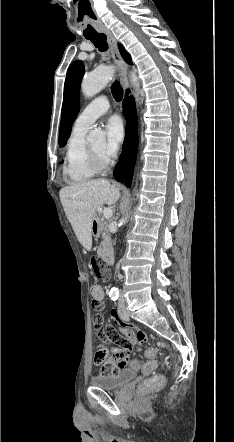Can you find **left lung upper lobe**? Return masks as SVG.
<instances>
[{"label": "left lung upper lobe", "mask_w": 234, "mask_h": 442, "mask_svg": "<svg viewBox=\"0 0 234 442\" xmlns=\"http://www.w3.org/2000/svg\"><path fill=\"white\" fill-rule=\"evenodd\" d=\"M119 50L128 64H132L131 57L124 47L119 44ZM85 73L84 65L82 61H74L68 68L65 85H64V98L62 106V119L60 126L59 145L64 146L68 140L72 124L79 111V90L81 80Z\"/></svg>", "instance_id": "obj_1"}]
</instances>
